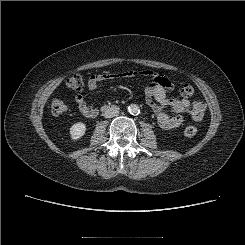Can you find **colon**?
Listing matches in <instances>:
<instances>
[{"label": "colon", "mask_w": 245, "mask_h": 245, "mask_svg": "<svg viewBox=\"0 0 245 245\" xmlns=\"http://www.w3.org/2000/svg\"><path fill=\"white\" fill-rule=\"evenodd\" d=\"M67 86L74 91L82 90L84 87V81L82 76L78 74H74L70 76L67 79ZM181 94L184 97H191L194 94V88L189 84H185L181 88ZM50 107H51V112L55 116H60L65 114L68 109L67 104L63 100L58 98H55L51 101ZM197 132H198V127L196 125H189L184 129V135L186 137H193L196 135Z\"/></svg>", "instance_id": "5ec220e1"}]
</instances>
